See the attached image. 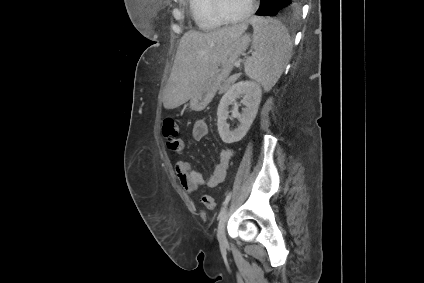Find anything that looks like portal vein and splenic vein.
<instances>
[{"label": "portal vein and splenic vein", "mask_w": 424, "mask_h": 283, "mask_svg": "<svg viewBox=\"0 0 424 283\" xmlns=\"http://www.w3.org/2000/svg\"><path fill=\"white\" fill-rule=\"evenodd\" d=\"M235 66H236V67H240V61H237V62L235 63Z\"/></svg>", "instance_id": "1"}]
</instances>
